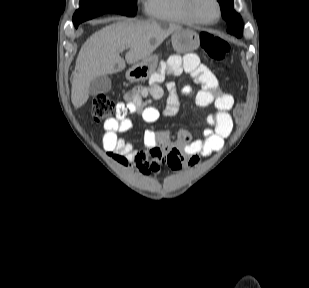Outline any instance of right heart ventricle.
<instances>
[{
  "label": "right heart ventricle",
  "instance_id": "e07e8e85",
  "mask_svg": "<svg viewBox=\"0 0 309 288\" xmlns=\"http://www.w3.org/2000/svg\"><path fill=\"white\" fill-rule=\"evenodd\" d=\"M145 13L159 21L195 24L186 10V0H145Z\"/></svg>",
  "mask_w": 309,
  "mask_h": 288
}]
</instances>
